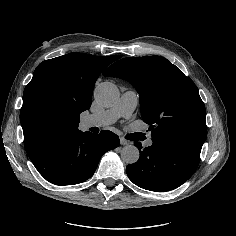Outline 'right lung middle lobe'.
Masks as SVG:
<instances>
[{
  "mask_svg": "<svg viewBox=\"0 0 236 236\" xmlns=\"http://www.w3.org/2000/svg\"><path fill=\"white\" fill-rule=\"evenodd\" d=\"M31 128L44 136L58 134L66 125L67 112L64 106L50 96L35 98L27 109Z\"/></svg>",
  "mask_w": 236,
  "mask_h": 236,
  "instance_id": "obj_1",
  "label": "right lung middle lobe"
}]
</instances>
